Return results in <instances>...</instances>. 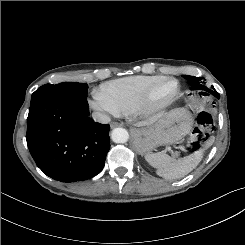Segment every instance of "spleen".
Wrapping results in <instances>:
<instances>
[{
    "mask_svg": "<svg viewBox=\"0 0 245 245\" xmlns=\"http://www.w3.org/2000/svg\"><path fill=\"white\" fill-rule=\"evenodd\" d=\"M204 149H199L195 153L174 159L164 152L147 154L146 161L154 168L156 173L166 180L180 179L194 170L202 160Z\"/></svg>",
    "mask_w": 245,
    "mask_h": 245,
    "instance_id": "spleen-1",
    "label": "spleen"
}]
</instances>
